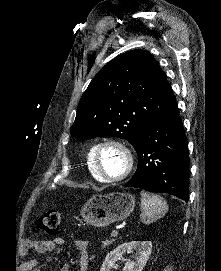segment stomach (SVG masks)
Returning <instances> with one entry per match:
<instances>
[{
    "mask_svg": "<svg viewBox=\"0 0 221 271\" xmlns=\"http://www.w3.org/2000/svg\"><path fill=\"white\" fill-rule=\"evenodd\" d=\"M135 207V197L132 193H106V195H94L86 201L82 215L84 221L95 227H105L114 221L126 219Z\"/></svg>",
    "mask_w": 221,
    "mask_h": 271,
    "instance_id": "0dacf381",
    "label": "stomach"
}]
</instances>
